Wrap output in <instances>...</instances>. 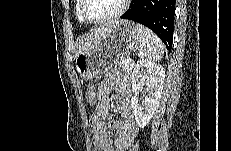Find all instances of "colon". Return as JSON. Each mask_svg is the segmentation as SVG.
<instances>
[{"label":"colon","instance_id":"obj_1","mask_svg":"<svg viewBox=\"0 0 231 151\" xmlns=\"http://www.w3.org/2000/svg\"><path fill=\"white\" fill-rule=\"evenodd\" d=\"M87 97H88V100H89L90 103H94V101H95V94H94L92 86H90L88 88Z\"/></svg>","mask_w":231,"mask_h":151}]
</instances>
